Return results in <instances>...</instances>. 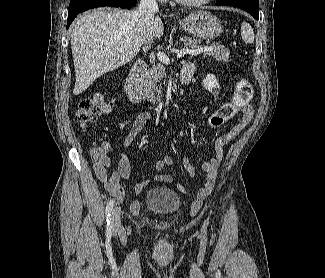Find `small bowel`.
Listing matches in <instances>:
<instances>
[{
	"mask_svg": "<svg viewBox=\"0 0 325 278\" xmlns=\"http://www.w3.org/2000/svg\"><path fill=\"white\" fill-rule=\"evenodd\" d=\"M253 113V108L250 105L243 107L240 121L226 135L221 136L216 140L214 144V157L209 161L203 162L202 164V168L204 169L206 175L203 182L201 183V188L198 193L199 197H205L211 192L218 168L221 161L223 160L224 146L249 124L253 117ZM151 118L152 114L149 112L139 113L134 119L128 133L123 137L122 144L126 147L130 146L135 140L136 136L140 133V131L145 127L148 120ZM103 147L105 148V154L94 164V171L97 177L109 195L115 197L121 204L128 205L131 210H135L137 207L136 203H126L124 198V190L119 185L120 180H126L130 176L131 170L129 158L124 153H116V156L118 157L117 169L109 171L112 157V155L109 153L110 146L108 143H104ZM172 163L173 158L170 155L161 157L155 164V170L158 172V174H156L154 177L155 180L165 183L172 182L173 177L170 174L160 173ZM182 164L190 175H196L197 169L188 158H183ZM147 184L148 181L139 182L135 186V191L137 193L142 192ZM179 189L183 193L186 192V189L182 185H179Z\"/></svg>",
	"mask_w": 325,
	"mask_h": 278,
	"instance_id": "1",
	"label": "small bowel"
}]
</instances>
